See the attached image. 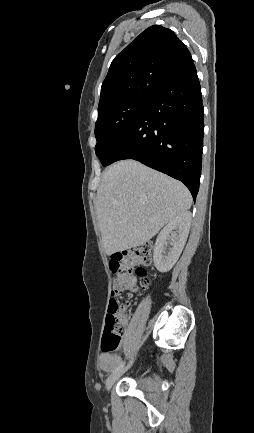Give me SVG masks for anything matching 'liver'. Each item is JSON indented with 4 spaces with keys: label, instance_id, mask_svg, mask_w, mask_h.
Listing matches in <instances>:
<instances>
[{
    "label": "liver",
    "instance_id": "obj_1",
    "mask_svg": "<svg viewBox=\"0 0 254 433\" xmlns=\"http://www.w3.org/2000/svg\"><path fill=\"white\" fill-rule=\"evenodd\" d=\"M179 181L134 160L109 166L97 190L96 213L107 255L140 246L191 206Z\"/></svg>",
    "mask_w": 254,
    "mask_h": 433
}]
</instances>
